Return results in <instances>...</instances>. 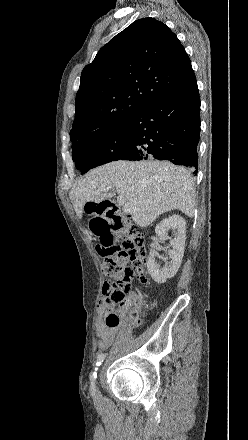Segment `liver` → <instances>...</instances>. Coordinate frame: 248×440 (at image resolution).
<instances>
[{
	"label": "liver",
	"mask_w": 248,
	"mask_h": 440,
	"mask_svg": "<svg viewBox=\"0 0 248 440\" xmlns=\"http://www.w3.org/2000/svg\"><path fill=\"white\" fill-rule=\"evenodd\" d=\"M111 189L134 208L132 219L140 227L174 209L189 217L194 214V182L186 169L168 161H115L91 170L73 185L70 200L78 218L87 202L109 199Z\"/></svg>",
	"instance_id": "1"
}]
</instances>
